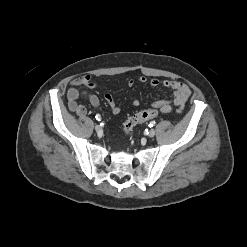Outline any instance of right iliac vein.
I'll list each match as a JSON object with an SVG mask.
<instances>
[{
  "mask_svg": "<svg viewBox=\"0 0 247 247\" xmlns=\"http://www.w3.org/2000/svg\"><path fill=\"white\" fill-rule=\"evenodd\" d=\"M96 132L100 133L102 132V127L100 125H95Z\"/></svg>",
  "mask_w": 247,
  "mask_h": 247,
  "instance_id": "63e3f726",
  "label": "right iliac vein"
}]
</instances>
